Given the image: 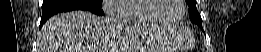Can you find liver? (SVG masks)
Listing matches in <instances>:
<instances>
[{
  "label": "liver",
  "mask_w": 261,
  "mask_h": 52,
  "mask_svg": "<svg viewBox=\"0 0 261 52\" xmlns=\"http://www.w3.org/2000/svg\"><path fill=\"white\" fill-rule=\"evenodd\" d=\"M120 38L134 47L160 46L163 32L144 26H124L112 17H98L90 12L72 11L51 17L41 28L38 52H118Z\"/></svg>",
  "instance_id": "liver-1"
}]
</instances>
